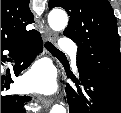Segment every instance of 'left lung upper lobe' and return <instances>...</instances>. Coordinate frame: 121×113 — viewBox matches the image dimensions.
<instances>
[{
    "label": "left lung upper lobe",
    "mask_w": 121,
    "mask_h": 113,
    "mask_svg": "<svg viewBox=\"0 0 121 113\" xmlns=\"http://www.w3.org/2000/svg\"><path fill=\"white\" fill-rule=\"evenodd\" d=\"M70 16L64 35L78 46L79 70L97 73L121 89V55L117 21L108 0H50L49 8Z\"/></svg>",
    "instance_id": "left-lung-upper-lobe-1"
}]
</instances>
